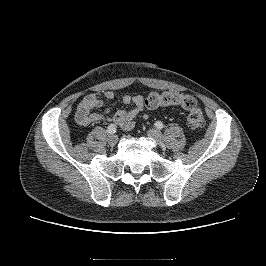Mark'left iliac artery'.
<instances>
[{"label":"left iliac artery","instance_id":"44dca946","mask_svg":"<svg viewBox=\"0 0 266 266\" xmlns=\"http://www.w3.org/2000/svg\"><path fill=\"white\" fill-rule=\"evenodd\" d=\"M155 127L158 128V129H162L163 128V123L161 121H157L155 123Z\"/></svg>","mask_w":266,"mask_h":266}]
</instances>
